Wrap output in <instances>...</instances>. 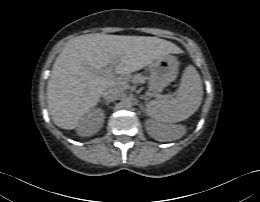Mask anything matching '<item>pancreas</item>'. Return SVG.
<instances>
[{
    "label": "pancreas",
    "mask_w": 260,
    "mask_h": 202,
    "mask_svg": "<svg viewBox=\"0 0 260 202\" xmlns=\"http://www.w3.org/2000/svg\"><path fill=\"white\" fill-rule=\"evenodd\" d=\"M143 80H145V77H143L140 74H137L134 77H132V81L134 83H139V82H142ZM120 87L122 89H127L128 88V83L126 81H122L121 84H120Z\"/></svg>",
    "instance_id": "cf45deb5"
}]
</instances>
